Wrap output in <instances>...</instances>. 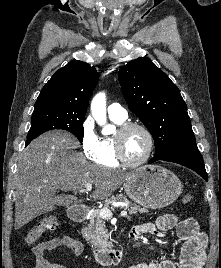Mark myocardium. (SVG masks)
<instances>
[{
  "label": "myocardium",
  "mask_w": 221,
  "mask_h": 268,
  "mask_svg": "<svg viewBox=\"0 0 221 268\" xmlns=\"http://www.w3.org/2000/svg\"><path fill=\"white\" fill-rule=\"evenodd\" d=\"M130 129H140L141 131L145 133L147 140H148V147H147L146 153L138 161H131L127 159L123 151L122 138L124 134ZM113 140H114L115 155H116L118 162L127 167H138L146 163L151 157L153 150H154V137H153L152 132L150 131L148 127L137 122H126V123L121 124L116 134L113 136Z\"/></svg>",
  "instance_id": "f54148a6"
}]
</instances>
